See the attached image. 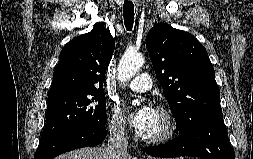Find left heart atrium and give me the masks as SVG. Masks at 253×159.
Returning a JSON list of instances; mask_svg holds the SVG:
<instances>
[{
  "instance_id": "obj_1",
  "label": "left heart atrium",
  "mask_w": 253,
  "mask_h": 159,
  "mask_svg": "<svg viewBox=\"0 0 253 159\" xmlns=\"http://www.w3.org/2000/svg\"><path fill=\"white\" fill-rule=\"evenodd\" d=\"M155 112L156 109L152 105L145 104L131 114L132 123L140 134L147 130L155 116Z\"/></svg>"
}]
</instances>
